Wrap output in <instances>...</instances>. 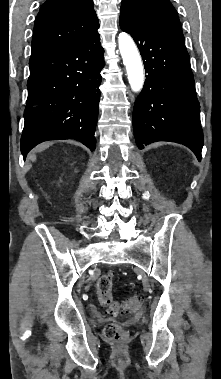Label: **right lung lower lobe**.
I'll return each instance as SVG.
<instances>
[{"label": "right lung lower lobe", "instance_id": "right-lung-lower-lobe-1", "mask_svg": "<svg viewBox=\"0 0 221 379\" xmlns=\"http://www.w3.org/2000/svg\"><path fill=\"white\" fill-rule=\"evenodd\" d=\"M98 28L74 45L29 61L21 137L24 158L47 140L76 139L95 149L100 72L105 65Z\"/></svg>", "mask_w": 221, "mask_h": 379}]
</instances>
